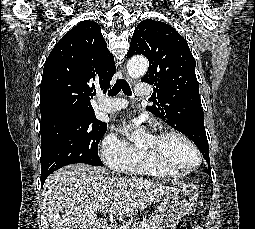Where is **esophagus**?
<instances>
[{"instance_id": "esophagus-1", "label": "esophagus", "mask_w": 255, "mask_h": 229, "mask_svg": "<svg viewBox=\"0 0 255 229\" xmlns=\"http://www.w3.org/2000/svg\"><path fill=\"white\" fill-rule=\"evenodd\" d=\"M121 71H122V73H123L124 79H125L127 82H129L130 84H132L133 81H132V79L129 77V75L127 74V71H126V69H125V66H121Z\"/></svg>"}]
</instances>
